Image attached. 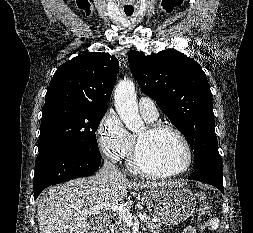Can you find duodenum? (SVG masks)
I'll return each mask as SVG.
<instances>
[{"mask_svg":"<svg viewBox=\"0 0 253 233\" xmlns=\"http://www.w3.org/2000/svg\"><path fill=\"white\" fill-rule=\"evenodd\" d=\"M111 222V218L106 216L102 219L100 224L94 226L92 233H106Z\"/></svg>","mask_w":253,"mask_h":233,"instance_id":"410a0bca","label":"duodenum"}]
</instances>
